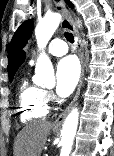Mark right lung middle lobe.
Returning a JSON list of instances; mask_svg holds the SVG:
<instances>
[{
  "label": "right lung middle lobe",
  "mask_w": 114,
  "mask_h": 156,
  "mask_svg": "<svg viewBox=\"0 0 114 156\" xmlns=\"http://www.w3.org/2000/svg\"><path fill=\"white\" fill-rule=\"evenodd\" d=\"M13 77H10V81H12Z\"/></svg>",
  "instance_id": "1"
}]
</instances>
